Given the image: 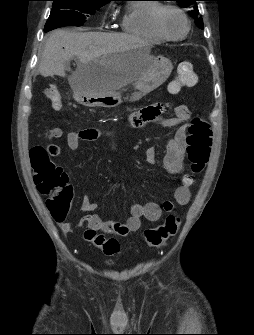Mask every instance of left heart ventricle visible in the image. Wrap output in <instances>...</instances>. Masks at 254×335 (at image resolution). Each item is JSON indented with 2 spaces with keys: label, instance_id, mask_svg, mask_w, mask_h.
Segmentation results:
<instances>
[{
  "label": "left heart ventricle",
  "instance_id": "obj_1",
  "mask_svg": "<svg viewBox=\"0 0 254 335\" xmlns=\"http://www.w3.org/2000/svg\"><path fill=\"white\" fill-rule=\"evenodd\" d=\"M162 30L171 37L184 33L186 25L181 15L173 10H165L161 15Z\"/></svg>",
  "mask_w": 254,
  "mask_h": 335
}]
</instances>
